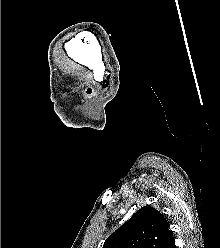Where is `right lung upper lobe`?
Wrapping results in <instances>:
<instances>
[{
  "label": "right lung upper lobe",
  "mask_w": 220,
  "mask_h": 248,
  "mask_svg": "<svg viewBox=\"0 0 220 248\" xmlns=\"http://www.w3.org/2000/svg\"><path fill=\"white\" fill-rule=\"evenodd\" d=\"M173 239L163 214L146 205L105 241L103 248H164Z\"/></svg>",
  "instance_id": "right-lung-upper-lobe-1"
}]
</instances>
